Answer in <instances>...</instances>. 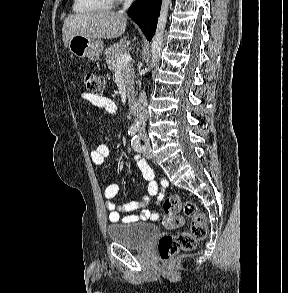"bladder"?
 <instances>
[{"instance_id": "1", "label": "bladder", "mask_w": 288, "mask_h": 293, "mask_svg": "<svg viewBox=\"0 0 288 293\" xmlns=\"http://www.w3.org/2000/svg\"><path fill=\"white\" fill-rule=\"evenodd\" d=\"M107 234L115 243L130 249H140L158 234V228L154 224L142 222L112 224L107 227Z\"/></svg>"}]
</instances>
